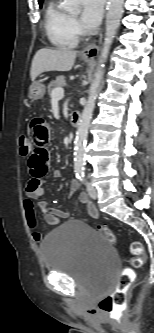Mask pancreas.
Wrapping results in <instances>:
<instances>
[{"instance_id": "1", "label": "pancreas", "mask_w": 154, "mask_h": 333, "mask_svg": "<svg viewBox=\"0 0 154 333\" xmlns=\"http://www.w3.org/2000/svg\"><path fill=\"white\" fill-rule=\"evenodd\" d=\"M65 84V77L63 75L56 77V79L51 81L48 85V94L51 96L54 88L64 86Z\"/></svg>"}]
</instances>
